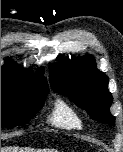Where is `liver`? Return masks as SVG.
<instances>
[{
	"label": "liver",
	"instance_id": "6515ba94",
	"mask_svg": "<svg viewBox=\"0 0 123 152\" xmlns=\"http://www.w3.org/2000/svg\"><path fill=\"white\" fill-rule=\"evenodd\" d=\"M1 152H56V151L53 150L35 151L34 149L31 148L6 147V148H2Z\"/></svg>",
	"mask_w": 123,
	"mask_h": 152
}]
</instances>
